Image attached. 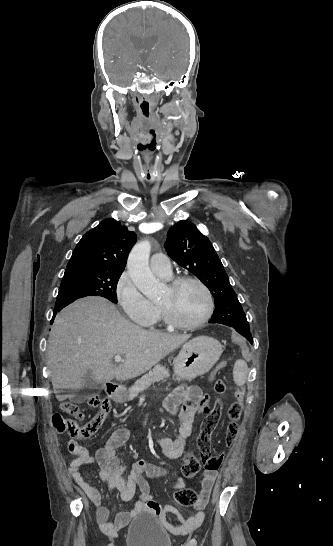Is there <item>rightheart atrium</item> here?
<instances>
[{"label": "right heart atrium", "mask_w": 333, "mask_h": 546, "mask_svg": "<svg viewBox=\"0 0 333 546\" xmlns=\"http://www.w3.org/2000/svg\"><path fill=\"white\" fill-rule=\"evenodd\" d=\"M115 297L126 317L137 324L148 326L158 315V308L142 294L128 272L117 280Z\"/></svg>", "instance_id": "1"}]
</instances>
